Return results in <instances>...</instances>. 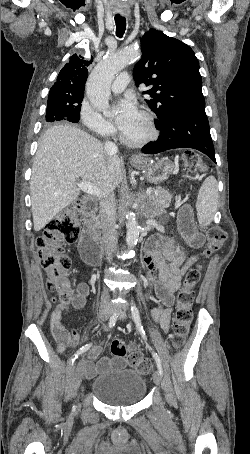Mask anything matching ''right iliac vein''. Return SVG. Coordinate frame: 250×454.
<instances>
[{"label":"right iliac vein","instance_id":"63e3f726","mask_svg":"<svg viewBox=\"0 0 250 454\" xmlns=\"http://www.w3.org/2000/svg\"><path fill=\"white\" fill-rule=\"evenodd\" d=\"M98 317L101 321H106L109 318V309L103 308L99 311ZM84 358L79 361V363L75 366L74 369V386L76 389H78L82 383L83 379V362Z\"/></svg>","mask_w":250,"mask_h":454}]
</instances>
